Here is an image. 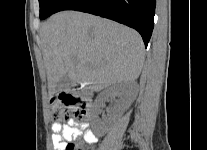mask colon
<instances>
[{
	"label": "colon",
	"instance_id": "1",
	"mask_svg": "<svg viewBox=\"0 0 207 150\" xmlns=\"http://www.w3.org/2000/svg\"><path fill=\"white\" fill-rule=\"evenodd\" d=\"M68 100H65V99ZM65 105H84V100H72V97L65 94L64 97H56L50 100L51 119L55 123L67 122L70 119V115ZM76 117L82 120L85 117L84 108H80L76 112ZM66 150H82L75 143H68Z\"/></svg>",
	"mask_w": 207,
	"mask_h": 150
}]
</instances>
